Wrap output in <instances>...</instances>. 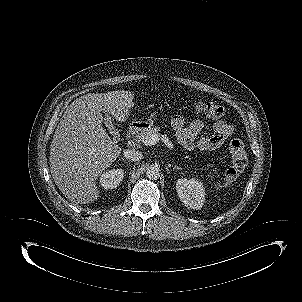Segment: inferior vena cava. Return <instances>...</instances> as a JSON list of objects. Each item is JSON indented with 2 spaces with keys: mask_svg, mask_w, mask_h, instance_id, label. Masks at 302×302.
Here are the masks:
<instances>
[{
  "mask_svg": "<svg viewBox=\"0 0 302 302\" xmlns=\"http://www.w3.org/2000/svg\"><path fill=\"white\" fill-rule=\"evenodd\" d=\"M123 155L127 160L133 162H137L143 159V154L139 150L135 149H125L123 151Z\"/></svg>",
  "mask_w": 302,
  "mask_h": 302,
  "instance_id": "inferior-vena-cava-1",
  "label": "inferior vena cava"
}]
</instances>
